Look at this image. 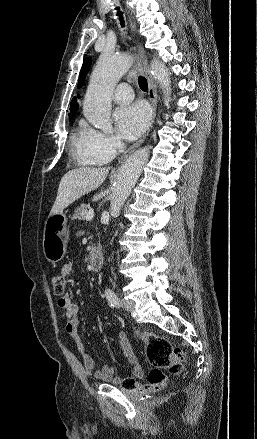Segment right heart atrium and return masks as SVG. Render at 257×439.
Listing matches in <instances>:
<instances>
[{"label": "right heart atrium", "instance_id": "1", "mask_svg": "<svg viewBox=\"0 0 257 439\" xmlns=\"http://www.w3.org/2000/svg\"><path fill=\"white\" fill-rule=\"evenodd\" d=\"M86 153L89 157L105 162L113 158L121 148V139L113 133L94 128L86 129Z\"/></svg>", "mask_w": 257, "mask_h": 439}]
</instances>
